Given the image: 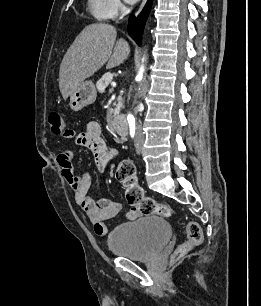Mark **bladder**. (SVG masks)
<instances>
[{
	"instance_id": "31cf9c89",
	"label": "bladder",
	"mask_w": 261,
	"mask_h": 306,
	"mask_svg": "<svg viewBox=\"0 0 261 306\" xmlns=\"http://www.w3.org/2000/svg\"><path fill=\"white\" fill-rule=\"evenodd\" d=\"M171 237V227L162 217L147 215L114 229L107 238L109 250L134 261L152 259Z\"/></svg>"
}]
</instances>
